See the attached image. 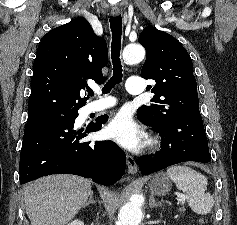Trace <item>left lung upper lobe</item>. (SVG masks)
<instances>
[{
	"label": "left lung upper lobe",
	"instance_id": "obj_1",
	"mask_svg": "<svg viewBox=\"0 0 237 225\" xmlns=\"http://www.w3.org/2000/svg\"><path fill=\"white\" fill-rule=\"evenodd\" d=\"M147 55L141 77L153 79L152 103L138 109L139 120L157 132L199 108L193 65L186 49L170 34L146 27L139 36Z\"/></svg>",
	"mask_w": 237,
	"mask_h": 225
}]
</instances>
